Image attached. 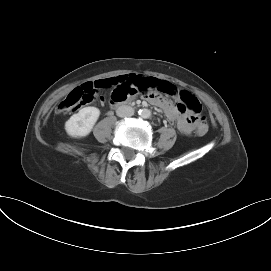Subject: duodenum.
Listing matches in <instances>:
<instances>
[{
	"label": "duodenum",
	"instance_id": "duodenum-1",
	"mask_svg": "<svg viewBox=\"0 0 271 271\" xmlns=\"http://www.w3.org/2000/svg\"><path fill=\"white\" fill-rule=\"evenodd\" d=\"M122 104L121 102H114L113 105H120Z\"/></svg>",
	"mask_w": 271,
	"mask_h": 271
}]
</instances>
